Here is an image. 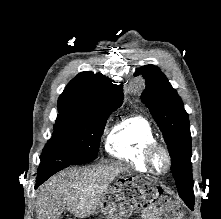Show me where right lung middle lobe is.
<instances>
[{
    "mask_svg": "<svg viewBox=\"0 0 221 219\" xmlns=\"http://www.w3.org/2000/svg\"><path fill=\"white\" fill-rule=\"evenodd\" d=\"M111 113L100 117L57 116L52 138L40 157L42 162L60 161L71 165L96 159L101 134Z\"/></svg>",
    "mask_w": 221,
    "mask_h": 219,
    "instance_id": "right-lung-middle-lobe-1",
    "label": "right lung middle lobe"
}]
</instances>
